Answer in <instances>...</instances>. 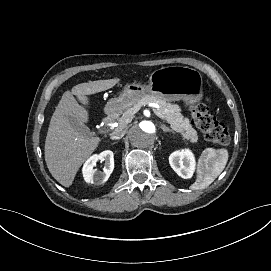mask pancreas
<instances>
[{"mask_svg":"<svg viewBox=\"0 0 271 271\" xmlns=\"http://www.w3.org/2000/svg\"><path fill=\"white\" fill-rule=\"evenodd\" d=\"M153 102L152 106L156 107L157 104L161 106L158 110L162 116H164V121L170 123L174 130L180 132L186 140H190L191 143L196 144L198 141V135L195 129L192 128L189 121L184 118L178 109L175 106L158 100L154 97H150L148 100L144 99L143 103L147 104L148 102ZM135 109H129L122 117L118 118V129L124 128L132 118H134Z\"/></svg>","mask_w":271,"mask_h":271,"instance_id":"cf45deb5","label":"pancreas"}]
</instances>
